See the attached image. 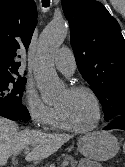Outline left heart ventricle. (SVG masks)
<instances>
[{
    "label": "left heart ventricle",
    "mask_w": 125,
    "mask_h": 167,
    "mask_svg": "<svg viewBox=\"0 0 125 167\" xmlns=\"http://www.w3.org/2000/svg\"><path fill=\"white\" fill-rule=\"evenodd\" d=\"M56 107L77 128L89 127L96 120L97 110L95 103L86 93H70L66 90L58 98Z\"/></svg>",
    "instance_id": "obj_1"
}]
</instances>
